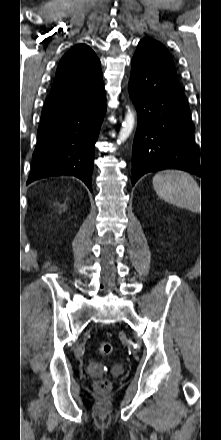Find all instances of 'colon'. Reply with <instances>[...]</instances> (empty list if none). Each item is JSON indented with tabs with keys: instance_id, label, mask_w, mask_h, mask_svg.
Here are the masks:
<instances>
[{
	"instance_id": "obj_1",
	"label": "colon",
	"mask_w": 221,
	"mask_h": 440,
	"mask_svg": "<svg viewBox=\"0 0 221 440\" xmlns=\"http://www.w3.org/2000/svg\"><path fill=\"white\" fill-rule=\"evenodd\" d=\"M112 352H113V345L110 342H103L97 348V353L100 356H108ZM95 388L99 392H106L110 388V383L106 379H101L96 382Z\"/></svg>"
}]
</instances>
